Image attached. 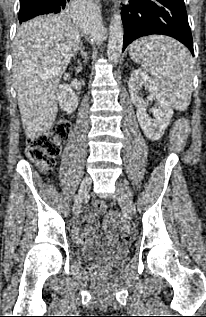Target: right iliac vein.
Wrapping results in <instances>:
<instances>
[{"label":"right iliac vein","mask_w":206,"mask_h":317,"mask_svg":"<svg viewBox=\"0 0 206 317\" xmlns=\"http://www.w3.org/2000/svg\"><path fill=\"white\" fill-rule=\"evenodd\" d=\"M91 186V178L90 177H85L80 185L79 188V195L77 197V200L74 204V214L77 216L80 211H81V207H82V202L84 197L87 195L89 189Z\"/></svg>","instance_id":"1"}]
</instances>
